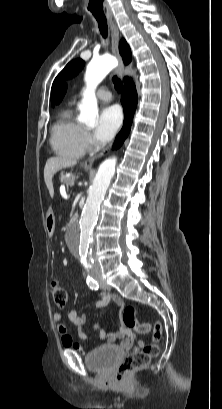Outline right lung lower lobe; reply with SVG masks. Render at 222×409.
Masks as SVG:
<instances>
[{
    "instance_id": "right-lung-lower-lobe-1",
    "label": "right lung lower lobe",
    "mask_w": 222,
    "mask_h": 409,
    "mask_svg": "<svg viewBox=\"0 0 222 409\" xmlns=\"http://www.w3.org/2000/svg\"><path fill=\"white\" fill-rule=\"evenodd\" d=\"M125 87L122 95V105L124 109V123L120 133L117 135L114 148H118L127 138L133 121V115L137 106V92L132 79L125 78Z\"/></svg>"
}]
</instances>
